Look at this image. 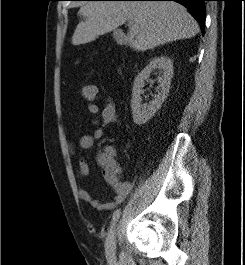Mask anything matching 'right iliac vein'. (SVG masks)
Segmentation results:
<instances>
[{
	"label": "right iliac vein",
	"mask_w": 245,
	"mask_h": 265,
	"mask_svg": "<svg viewBox=\"0 0 245 265\" xmlns=\"http://www.w3.org/2000/svg\"><path fill=\"white\" fill-rule=\"evenodd\" d=\"M118 234V224H114L110 229L105 242V253L108 261H115L116 259V237Z\"/></svg>",
	"instance_id": "right-iliac-vein-1"
}]
</instances>
